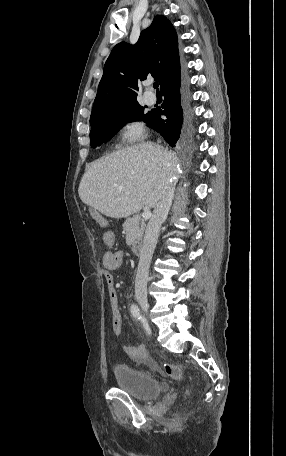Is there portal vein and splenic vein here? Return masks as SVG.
I'll list each match as a JSON object with an SVG mask.
<instances>
[{"label":"portal vein and splenic vein","instance_id":"portal-vein-and-splenic-vein-1","mask_svg":"<svg viewBox=\"0 0 286 456\" xmlns=\"http://www.w3.org/2000/svg\"><path fill=\"white\" fill-rule=\"evenodd\" d=\"M142 217H143L144 219H149V218L151 217V211H150L148 208H146V209L144 210V212L142 213Z\"/></svg>","mask_w":286,"mask_h":456}]
</instances>
